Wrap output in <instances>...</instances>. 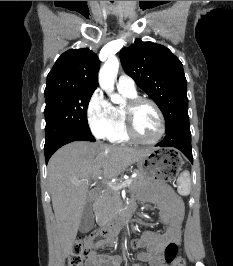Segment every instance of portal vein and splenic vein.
I'll list each match as a JSON object with an SVG mask.
<instances>
[{
  "label": "portal vein and splenic vein",
  "mask_w": 233,
  "mask_h": 266,
  "mask_svg": "<svg viewBox=\"0 0 233 266\" xmlns=\"http://www.w3.org/2000/svg\"><path fill=\"white\" fill-rule=\"evenodd\" d=\"M97 178H100L99 176H97ZM84 181V180H82ZM82 181H76V183H80ZM131 179H127L125 181H123L122 183H119V184H116V183H111V182H108V181H104V184H106L110 189H113V190H119L121 188H124V187H127L131 184Z\"/></svg>",
  "instance_id": "18ae733b"
}]
</instances>
